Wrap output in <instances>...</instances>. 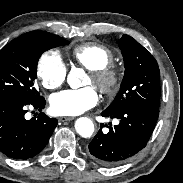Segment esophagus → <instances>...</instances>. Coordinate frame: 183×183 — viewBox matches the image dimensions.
I'll list each match as a JSON object with an SVG mask.
<instances>
[{
  "label": "esophagus",
  "instance_id": "1",
  "mask_svg": "<svg viewBox=\"0 0 183 183\" xmlns=\"http://www.w3.org/2000/svg\"><path fill=\"white\" fill-rule=\"evenodd\" d=\"M73 119H74L73 117H66V116L59 117V121L61 122L71 121Z\"/></svg>",
  "mask_w": 183,
  "mask_h": 183
}]
</instances>
